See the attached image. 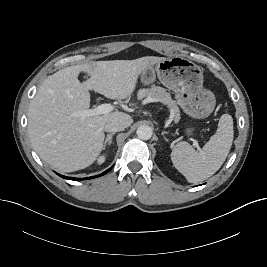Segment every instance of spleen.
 <instances>
[{"mask_svg":"<svg viewBox=\"0 0 267 267\" xmlns=\"http://www.w3.org/2000/svg\"><path fill=\"white\" fill-rule=\"evenodd\" d=\"M234 136L233 119L223 114L216 133L198 152L189 143L179 142L171 153L175 168L188 182L199 183L215 174L225 162Z\"/></svg>","mask_w":267,"mask_h":267,"instance_id":"3e777b00","label":"spleen"}]
</instances>
